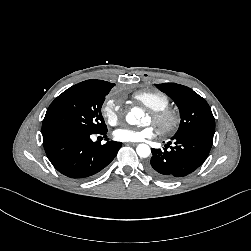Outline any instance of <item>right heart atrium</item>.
Here are the masks:
<instances>
[{"mask_svg":"<svg viewBox=\"0 0 251 251\" xmlns=\"http://www.w3.org/2000/svg\"><path fill=\"white\" fill-rule=\"evenodd\" d=\"M101 111L104 119L110 125H115L123 115L122 103L115 98H109L102 106Z\"/></svg>","mask_w":251,"mask_h":251,"instance_id":"obj_1","label":"right heart atrium"}]
</instances>
